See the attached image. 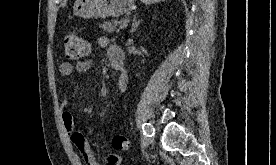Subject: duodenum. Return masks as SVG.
I'll list each match as a JSON object with an SVG mask.
<instances>
[{"label":"duodenum","instance_id":"410a0bca","mask_svg":"<svg viewBox=\"0 0 276 165\" xmlns=\"http://www.w3.org/2000/svg\"><path fill=\"white\" fill-rule=\"evenodd\" d=\"M110 63H111V66L114 70L116 71H121L123 70V67H124V62L118 58V57H112L110 59Z\"/></svg>","mask_w":276,"mask_h":165}]
</instances>
